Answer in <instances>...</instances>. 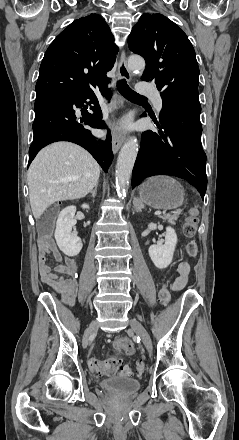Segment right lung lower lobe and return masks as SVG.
<instances>
[{"instance_id":"1","label":"right lung lower lobe","mask_w":239,"mask_h":440,"mask_svg":"<svg viewBox=\"0 0 239 440\" xmlns=\"http://www.w3.org/2000/svg\"><path fill=\"white\" fill-rule=\"evenodd\" d=\"M106 83L99 87L101 91L109 94L108 89L102 88ZM84 103L95 104L96 108L92 109L94 113L90 114L83 109V117L77 118L74 108H86ZM97 103L93 88L73 93L50 92L36 95L34 138L29 149V164L46 145L57 141H70L87 149L107 172L113 159L111 136L108 134L105 141L97 140L87 127L106 128Z\"/></svg>"}]
</instances>
